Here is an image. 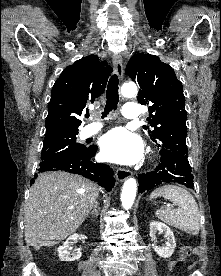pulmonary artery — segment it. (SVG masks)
Masks as SVG:
<instances>
[{"label": "pulmonary artery", "mask_w": 221, "mask_h": 276, "mask_svg": "<svg viewBox=\"0 0 221 276\" xmlns=\"http://www.w3.org/2000/svg\"><path fill=\"white\" fill-rule=\"evenodd\" d=\"M123 115L127 119H137L140 115L138 105L127 103L123 108ZM102 128L100 123L90 124L83 129L82 136L89 137L97 133Z\"/></svg>", "instance_id": "1"}]
</instances>
